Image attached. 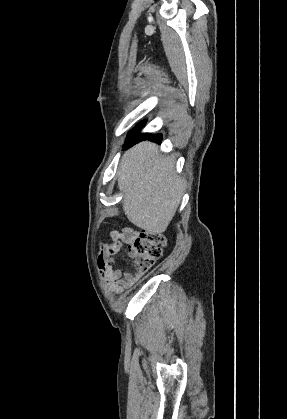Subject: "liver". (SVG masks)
Wrapping results in <instances>:
<instances>
[{"label": "liver", "mask_w": 287, "mask_h": 419, "mask_svg": "<svg viewBox=\"0 0 287 419\" xmlns=\"http://www.w3.org/2000/svg\"><path fill=\"white\" fill-rule=\"evenodd\" d=\"M117 177L129 221L147 234L164 232L185 189L184 180L175 172L174 158L161 155L154 143L141 142L124 153Z\"/></svg>", "instance_id": "6515ba94"}]
</instances>
